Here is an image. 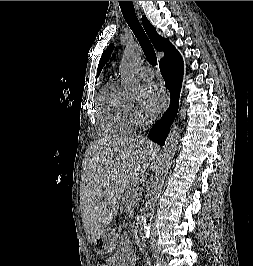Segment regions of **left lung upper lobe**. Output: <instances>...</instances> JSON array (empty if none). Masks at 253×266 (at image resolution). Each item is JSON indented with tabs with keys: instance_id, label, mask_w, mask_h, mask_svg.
<instances>
[{
	"instance_id": "obj_1",
	"label": "left lung upper lobe",
	"mask_w": 253,
	"mask_h": 266,
	"mask_svg": "<svg viewBox=\"0 0 253 266\" xmlns=\"http://www.w3.org/2000/svg\"><path fill=\"white\" fill-rule=\"evenodd\" d=\"M113 44H111L106 51H104L100 63L98 65V71H97V76L100 74V71L102 70L103 66L105 65V63L108 61L111 51L113 50Z\"/></svg>"
}]
</instances>
